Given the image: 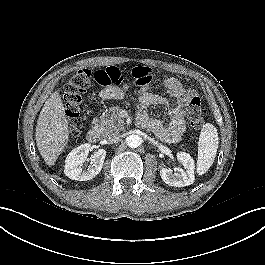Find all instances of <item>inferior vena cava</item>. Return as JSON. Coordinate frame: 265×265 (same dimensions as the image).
<instances>
[{"label": "inferior vena cava", "mask_w": 265, "mask_h": 265, "mask_svg": "<svg viewBox=\"0 0 265 265\" xmlns=\"http://www.w3.org/2000/svg\"><path fill=\"white\" fill-rule=\"evenodd\" d=\"M121 138V135L118 134V133H111V134H108L107 136H105V141L107 143H116L120 140Z\"/></svg>", "instance_id": "602c4592"}]
</instances>
